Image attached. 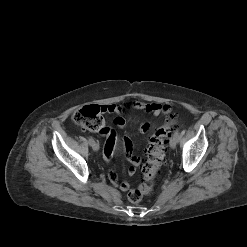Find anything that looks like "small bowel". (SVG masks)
I'll use <instances>...</instances> for the list:
<instances>
[{
  "label": "small bowel",
  "instance_id": "obj_1",
  "mask_svg": "<svg viewBox=\"0 0 247 247\" xmlns=\"http://www.w3.org/2000/svg\"><path fill=\"white\" fill-rule=\"evenodd\" d=\"M106 112L117 114L118 116L114 120V124L122 128L125 125V119L122 117L128 109L141 110L148 113H151L153 116L157 117L161 114L168 115L171 112V106L168 104H159V103H146L140 101H132L123 105H105ZM152 125L148 122H145L140 125L139 132L146 133L150 131ZM105 135L107 140L103 149V158L106 162H109L114 154L117 145L116 133L112 128L104 127L100 132ZM124 147L125 155L130 161L131 166L129 168V174H135L137 167L141 163L142 159L138 156L133 155L132 153V142L129 136L124 137ZM110 182L119 187L122 191H127L130 188L128 181H119L118 175L115 171H110L108 174Z\"/></svg>",
  "mask_w": 247,
  "mask_h": 247
}]
</instances>
